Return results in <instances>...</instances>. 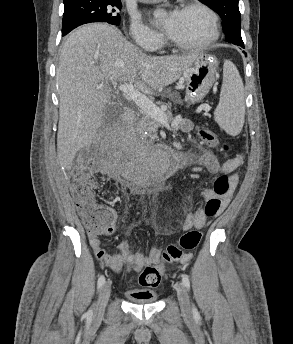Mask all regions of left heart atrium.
<instances>
[{
  "label": "left heart atrium",
  "mask_w": 293,
  "mask_h": 344,
  "mask_svg": "<svg viewBox=\"0 0 293 344\" xmlns=\"http://www.w3.org/2000/svg\"><path fill=\"white\" fill-rule=\"evenodd\" d=\"M176 12H169L166 18L160 23V27L168 33L173 25Z\"/></svg>",
  "instance_id": "obj_1"
}]
</instances>
